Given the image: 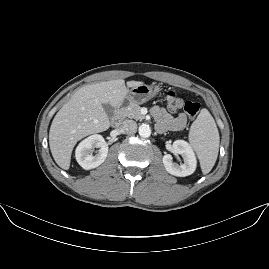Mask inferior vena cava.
Wrapping results in <instances>:
<instances>
[{"label":"inferior vena cava","mask_w":269,"mask_h":269,"mask_svg":"<svg viewBox=\"0 0 269 269\" xmlns=\"http://www.w3.org/2000/svg\"><path fill=\"white\" fill-rule=\"evenodd\" d=\"M121 131L125 134H132L137 131V124L133 120H125L121 124Z\"/></svg>","instance_id":"1"}]
</instances>
